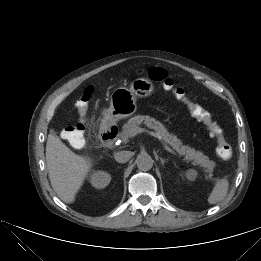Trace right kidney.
<instances>
[{"label":"right kidney","instance_id":"ca27d5eb","mask_svg":"<svg viewBox=\"0 0 261 261\" xmlns=\"http://www.w3.org/2000/svg\"><path fill=\"white\" fill-rule=\"evenodd\" d=\"M110 181H111L110 174L104 171L94 172L90 176V183L92 184L93 187L97 189L105 188L106 186L109 185Z\"/></svg>","mask_w":261,"mask_h":261}]
</instances>
